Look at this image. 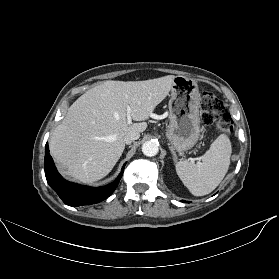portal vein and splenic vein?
Instances as JSON below:
<instances>
[{
    "label": "portal vein and splenic vein",
    "instance_id": "18ae733b",
    "mask_svg": "<svg viewBox=\"0 0 279 279\" xmlns=\"http://www.w3.org/2000/svg\"><path fill=\"white\" fill-rule=\"evenodd\" d=\"M131 113H132L131 108H130V107H127V122H128V123H131V122H132Z\"/></svg>",
    "mask_w": 279,
    "mask_h": 279
}]
</instances>
